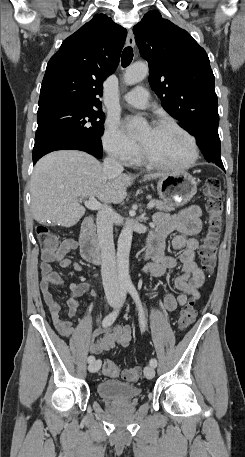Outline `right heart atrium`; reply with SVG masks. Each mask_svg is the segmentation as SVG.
Wrapping results in <instances>:
<instances>
[{"label":"right heart atrium","instance_id":"1","mask_svg":"<svg viewBox=\"0 0 245 457\" xmlns=\"http://www.w3.org/2000/svg\"><path fill=\"white\" fill-rule=\"evenodd\" d=\"M106 150L119 160L130 163L137 155V147L123 132L118 122L109 120L103 135Z\"/></svg>","mask_w":245,"mask_h":457}]
</instances>
